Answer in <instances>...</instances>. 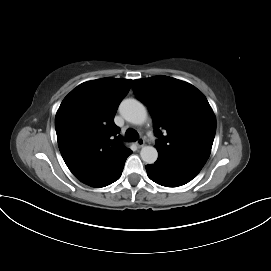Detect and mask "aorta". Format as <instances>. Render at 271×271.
I'll return each instance as SVG.
<instances>
[{
    "label": "aorta",
    "mask_w": 271,
    "mask_h": 271,
    "mask_svg": "<svg viewBox=\"0 0 271 271\" xmlns=\"http://www.w3.org/2000/svg\"><path fill=\"white\" fill-rule=\"evenodd\" d=\"M119 111L124 119L132 124L141 125L147 119L145 106L135 99H126L122 101ZM140 156L145 163L153 164L158 158V152L153 146H144L141 149Z\"/></svg>",
    "instance_id": "762f6f07"
}]
</instances>
